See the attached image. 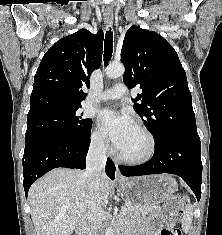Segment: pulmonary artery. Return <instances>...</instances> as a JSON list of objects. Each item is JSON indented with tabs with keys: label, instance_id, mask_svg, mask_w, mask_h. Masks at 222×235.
I'll use <instances>...</instances> for the list:
<instances>
[{
	"label": "pulmonary artery",
	"instance_id": "1",
	"mask_svg": "<svg viewBox=\"0 0 222 235\" xmlns=\"http://www.w3.org/2000/svg\"><path fill=\"white\" fill-rule=\"evenodd\" d=\"M128 94V89L124 84H117L114 87L105 90L99 96L100 101L118 100Z\"/></svg>",
	"mask_w": 222,
	"mask_h": 235
}]
</instances>
